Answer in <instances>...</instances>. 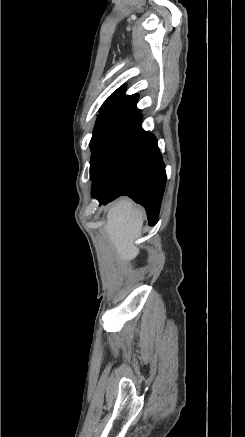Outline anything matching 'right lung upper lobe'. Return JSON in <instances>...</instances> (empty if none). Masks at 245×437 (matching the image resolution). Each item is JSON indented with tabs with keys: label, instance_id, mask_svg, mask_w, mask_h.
Instances as JSON below:
<instances>
[{
	"label": "right lung upper lobe",
	"instance_id": "right-lung-upper-lobe-1",
	"mask_svg": "<svg viewBox=\"0 0 245 437\" xmlns=\"http://www.w3.org/2000/svg\"><path fill=\"white\" fill-rule=\"evenodd\" d=\"M126 88L122 86L114 91L102 104V107L107 106H123L133 110H137L136 103L138 101V95H125Z\"/></svg>",
	"mask_w": 245,
	"mask_h": 437
}]
</instances>
